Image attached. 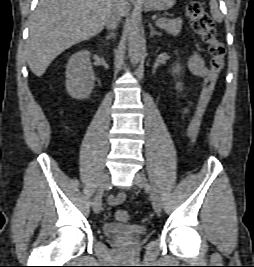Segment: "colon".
Masks as SVG:
<instances>
[{
	"instance_id": "colon-1",
	"label": "colon",
	"mask_w": 254,
	"mask_h": 267,
	"mask_svg": "<svg viewBox=\"0 0 254 267\" xmlns=\"http://www.w3.org/2000/svg\"><path fill=\"white\" fill-rule=\"evenodd\" d=\"M186 15L193 32L207 45L210 56V71L203 81L198 104L187 128L188 138L193 144L198 138L204 112L214 91L218 75L224 65L225 47L216 38L214 22L206 12L202 2L197 0L190 1L186 6ZM116 218L120 222H128L130 213L126 210H120L116 213Z\"/></svg>"
}]
</instances>
